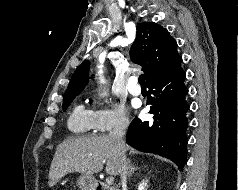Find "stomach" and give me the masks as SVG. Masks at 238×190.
I'll use <instances>...</instances> for the list:
<instances>
[{
  "mask_svg": "<svg viewBox=\"0 0 238 190\" xmlns=\"http://www.w3.org/2000/svg\"><path fill=\"white\" fill-rule=\"evenodd\" d=\"M77 185L81 190H96L97 181L93 176L82 174L77 180Z\"/></svg>",
  "mask_w": 238,
  "mask_h": 190,
  "instance_id": "0dacf381",
  "label": "stomach"
}]
</instances>
